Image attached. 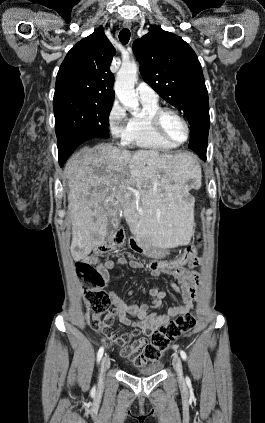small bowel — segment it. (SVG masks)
Instances as JSON below:
<instances>
[{
  "label": "small bowel",
  "instance_id": "small-bowel-1",
  "mask_svg": "<svg viewBox=\"0 0 265 423\" xmlns=\"http://www.w3.org/2000/svg\"><path fill=\"white\" fill-rule=\"evenodd\" d=\"M200 264V258L196 255L187 266H183L174 271L160 270L151 271V275L159 277L167 275L170 279L171 287L182 297L180 304L172 306L167 313L158 314L155 309L161 306V301L165 297V292L159 287H152L149 290L151 299L145 303H128L121 296L114 292L109 293L111 303L114 307L113 315L120 324L133 329L132 334L109 337L115 344L121 347V355L131 362L143 365L146 360L143 357L142 345L147 342L145 338H139L131 342L132 338L139 334H150L160 326L168 323L173 318L189 312L197 298L201 278L196 268ZM128 265L133 269H142L144 264L137 260H128L120 257L117 261H106L97 266L105 286L108 287L109 271L116 266Z\"/></svg>",
  "mask_w": 265,
  "mask_h": 423
}]
</instances>
